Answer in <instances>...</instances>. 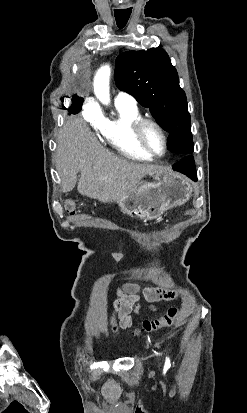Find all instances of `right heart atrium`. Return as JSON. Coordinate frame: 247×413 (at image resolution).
I'll use <instances>...</instances> for the list:
<instances>
[{
  "label": "right heart atrium",
  "instance_id": "1",
  "mask_svg": "<svg viewBox=\"0 0 247 413\" xmlns=\"http://www.w3.org/2000/svg\"><path fill=\"white\" fill-rule=\"evenodd\" d=\"M83 107L82 118L88 119L89 124H92L94 128L102 132L105 126L106 116L105 111L101 110L102 102L100 100H84Z\"/></svg>",
  "mask_w": 247,
  "mask_h": 413
}]
</instances>
